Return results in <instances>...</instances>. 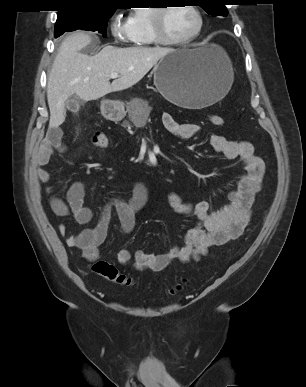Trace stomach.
Masks as SVG:
<instances>
[{
  "label": "stomach",
  "instance_id": "1",
  "mask_svg": "<svg viewBox=\"0 0 306 387\" xmlns=\"http://www.w3.org/2000/svg\"><path fill=\"white\" fill-rule=\"evenodd\" d=\"M153 72L154 84L161 95L188 109L204 108L219 101L234 80L226 52L213 44L173 50L157 62ZM100 109L110 121H120L127 112L125 104L118 100L104 99Z\"/></svg>",
  "mask_w": 306,
  "mask_h": 387
}]
</instances>
